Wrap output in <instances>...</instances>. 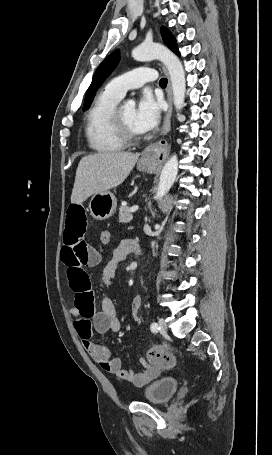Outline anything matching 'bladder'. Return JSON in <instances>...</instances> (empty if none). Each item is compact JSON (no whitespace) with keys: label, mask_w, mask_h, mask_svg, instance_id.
Instances as JSON below:
<instances>
[{"label":"bladder","mask_w":272,"mask_h":455,"mask_svg":"<svg viewBox=\"0 0 272 455\" xmlns=\"http://www.w3.org/2000/svg\"><path fill=\"white\" fill-rule=\"evenodd\" d=\"M179 382L172 376H162L150 382L143 389V397L152 404L168 401L177 391Z\"/></svg>","instance_id":"bladder-1"}]
</instances>
